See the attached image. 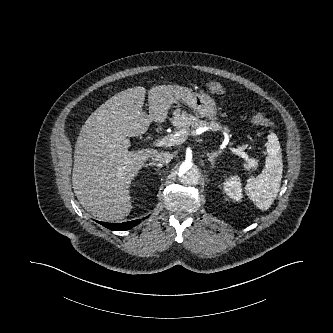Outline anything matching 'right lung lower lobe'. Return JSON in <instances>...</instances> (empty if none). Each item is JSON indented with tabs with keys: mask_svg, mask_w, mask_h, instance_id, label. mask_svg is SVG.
<instances>
[{
	"mask_svg": "<svg viewBox=\"0 0 333 333\" xmlns=\"http://www.w3.org/2000/svg\"><path fill=\"white\" fill-rule=\"evenodd\" d=\"M146 218H143V220ZM141 222L140 219L124 222V223H106V222H99L104 227L110 229V230H128L136 226Z\"/></svg>",
	"mask_w": 333,
	"mask_h": 333,
	"instance_id": "98d812e1",
	"label": "right lung lower lobe"
}]
</instances>
